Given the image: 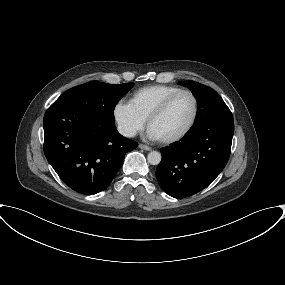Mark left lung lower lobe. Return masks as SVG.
Segmentation results:
<instances>
[{
  "label": "left lung lower lobe",
  "mask_w": 285,
  "mask_h": 285,
  "mask_svg": "<svg viewBox=\"0 0 285 285\" xmlns=\"http://www.w3.org/2000/svg\"><path fill=\"white\" fill-rule=\"evenodd\" d=\"M233 133V120L211 121L191 128L181 141L162 148L156 170L160 187L175 198L206 188L228 162Z\"/></svg>",
  "instance_id": "0a47b994"
}]
</instances>
